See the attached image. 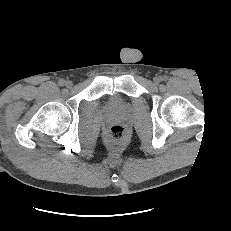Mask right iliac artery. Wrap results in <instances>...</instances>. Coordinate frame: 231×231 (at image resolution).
Returning a JSON list of instances; mask_svg holds the SVG:
<instances>
[{
    "mask_svg": "<svg viewBox=\"0 0 231 231\" xmlns=\"http://www.w3.org/2000/svg\"><path fill=\"white\" fill-rule=\"evenodd\" d=\"M58 84H59L60 86H64V85H65V81H64L63 79H61V80H59Z\"/></svg>",
    "mask_w": 231,
    "mask_h": 231,
    "instance_id": "right-iliac-artery-1",
    "label": "right iliac artery"
}]
</instances>
